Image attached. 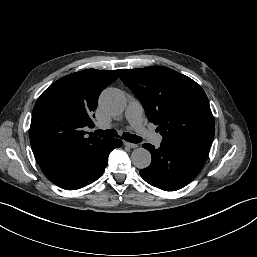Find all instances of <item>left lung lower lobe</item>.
I'll list each match as a JSON object with an SVG mask.
<instances>
[{"label": "left lung lower lobe", "mask_w": 257, "mask_h": 257, "mask_svg": "<svg viewBox=\"0 0 257 257\" xmlns=\"http://www.w3.org/2000/svg\"><path fill=\"white\" fill-rule=\"evenodd\" d=\"M211 142H182L166 140L155 149L143 144L152 156L150 166L140 170L141 177L150 185L165 191H175L189 184L203 168Z\"/></svg>", "instance_id": "1"}]
</instances>
